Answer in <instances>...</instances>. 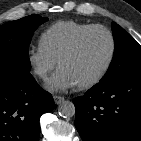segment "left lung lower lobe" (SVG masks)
Here are the masks:
<instances>
[{
  "label": "left lung lower lobe",
  "mask_w": 141,
  "mask_h": 141,
  "mask_svg": "<svg viewBox=\"0 0 141 141\" xmlns=\"http://www.w3.org/2000/svg\"><path fill=\"white\" fill-rule=\"evenodd\" d=\"M73 103L83 141L141 139V72L99 82Z\"/></svg>",
  "instance_id": "1"
}]
</instances>
